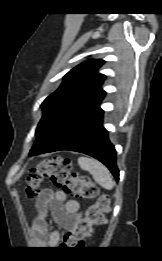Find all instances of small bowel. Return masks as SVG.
Returning a JSON list of instances; mask_svg holds the SVG:
<instances>
[{"label":"small bowel","instance_id":"small-bowel-1","mask_svg":"<svg viewBox=\"0 0 162 261\" xmlns=\"http://www.w3.org/2000/svg\"><path fill=\"white\" fill-rule=\"evenodd\" d=\"M38 216L33 226V232L39 240L46 230L47 217H51L61 225L70 235L75 227V220L80 211V204L74 199L68 198L65 191H51L44 189L37 202ZM60 242V234L52 232L46 239L48 247H56Z\"/></svg>","mask_w":162,"mask_h":261}]
</instances>
